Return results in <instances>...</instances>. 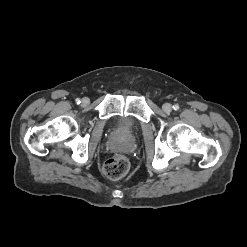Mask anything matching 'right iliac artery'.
Masks as SVG:
<instances>
[{
  "instance_id": "1",
  "label": "right iliac artery",
  "mask_w": 247,
  "mask_h": 247,
  "mask_svg": "<svg viewBox=\"0 0 247 247\" xmlns=\"http://www.w3.org/2000/svg\"><path fill=\"white\" fill-rule=\"evenodd\" d=\"M75 102L77 103V104H80V99L79 98H77L76 100H75Z\"/></svg>"
}]
</instances>
